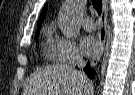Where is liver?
Here are the masks:
<instances>
[{
  "mask_svg": "<svg viewBox=\"0 0 135 95\" xmlns=\"http://www.w3.org/2000/svg\"><path fill=\"white\" fill-rule=\"evenodd\" d=\"M92 82L65 64L47 66L36 72L24 95H91Z\"/></svg>",
  "mask_w": 135,
  "mask_h": 95,
  "instance_id": "obj_1",
  "label": "liver"
}]
</instances>
